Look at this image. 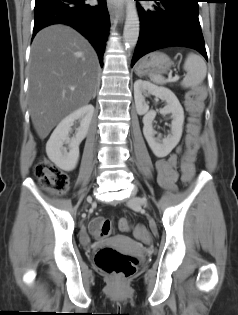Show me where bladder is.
<instances>
[{
	"label": "bladder",
	"instance_id": "1",
	"mask_svg": "<svg viewBox=\"0 0 238 315\" xmlns=\"http://www.w3.org/2000/svg\"><path fill=\"white\" fill-rule=\"evenodd\" d=\"M118 249H131V248H118Z\"/></svg>",
	"mask_w": 238,
	"mask_h": 315
}]
</instances>
